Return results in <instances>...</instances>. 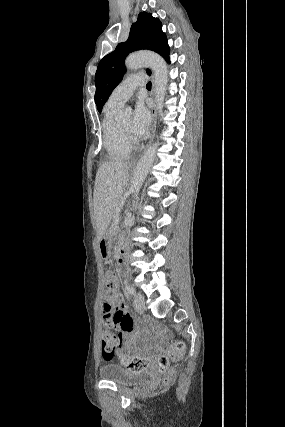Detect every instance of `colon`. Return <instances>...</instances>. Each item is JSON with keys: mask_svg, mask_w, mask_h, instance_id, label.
<instances>
[{"mask_svg": "<svg viewBox=\"0 0 285 427\" xmlns=\"http://www.w3.org/2000/svg\"><path fill=\"white\" fill-rule=\"evenodd\" d=\"M106 291L104 300H110L113 296V274L111 271L104 273ZM122 343L121 327L118 323L113 324L109 330L103 335L102 357L105 361H111L114 358L120 361L130 370H145L150 369L154 372L164 374L161 382L162 387H166L171 383L170 377L167 375L170 371V364L175 359L184 354V343L177 341L172 343L163 354L155 359H148L135 355H122L119 353V347Z\"/></svg>", "mask_w": 285, "mask_h": 427, "instance_id": "colon-1", "label": "colon"}]
</instances>
